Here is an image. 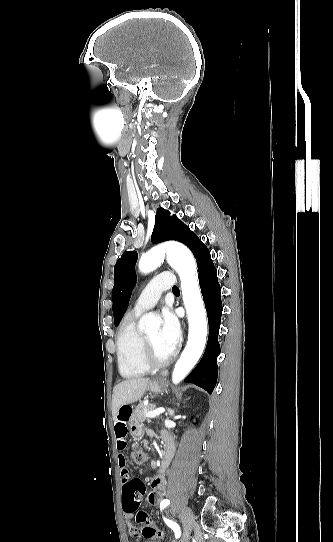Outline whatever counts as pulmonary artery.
<instances>
[{
    "label": "pulmonary artery",
    "mask_w": 333,
    "mask_h": 542,
    "mask_svg": "<svg viewBox=\"0 0 333 542\" xmlns=\"http://www.w3.org/2000/svg\"><path fill=\"white\" fill-rule=\"evenodd\" d=\"M174 279L175 278L168 270H165L162 273H157L154 276V279L149 281V285L146 287V290H143L139 294L131 312L135 315H141L154 308L160 300L163 292L169 291L174 287Z\"/></svg>",
    "instance_id": "1"
}]
</instances>
